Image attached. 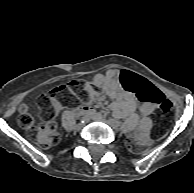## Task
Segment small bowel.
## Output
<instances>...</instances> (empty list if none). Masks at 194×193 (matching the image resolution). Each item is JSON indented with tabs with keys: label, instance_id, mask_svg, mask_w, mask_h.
Segmentation results:
<instances>
[{
	"label": "small bowel",
	"instance_id": "small-bowel-1",
	"mask_svg": "<svg viewBox=\"0 0 194 193\" xmlns=\"http://www.w3.org/2000/svg\"><path fill=\"white\" fill-rule=\"evenodd\" d=\"M148 81V80H147ZM149 82V81H148ZM156 92L161 93L160 90L149 82ZM92 92L96 94L99 100L105 97L113 100L111 108L114 116L118 118H128L131 123L137 124L135 137L140 141H146L148 138V132L151 128L150 115L153 113L154 103H143L140 107V113L142 119L138 122L137 116L134 114L138 101L135 93L129 90H125L118 78V71L116 69H110L106 73H99L93 77ZM61 108V105L56 107ZM87 105H83L75 109L77 110L89 109Z\"/></svg>",
	"mask_w": 194,
	"mask_h": 193
}]
</instances>
